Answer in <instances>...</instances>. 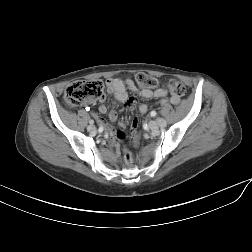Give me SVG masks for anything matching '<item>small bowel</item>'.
Instances as JSON below:
<instances>
[{
	"label": "small bowel",
	"mask_w": 252,
	"mask_h": 252,
	"mask_svg": "<svg viewBox=\"0 0 252 252\" xmlns=\"http://www.w3.org/2000/svg\"><path fill=\"white\" fill-rule=\"evenodd\" d=\"M106 86L108 92L115 98L116 101L124 103L125 106L130 109L137 108L140 113L147 112V105L143 103L138 104L137 99L134 96L128 95L127 88L133 92H138L143 98H165L168 95L167 91L163 88H158L155 90H151L149 88L138 89L131 78H128L125 81L119 78H108L106 80ZM101 100H103V98ZM179 102L180 98L174 95H171L162 101L163 104L171 103L174 105L178 104ZM88 103H92V101L90 100ZM99 112L105 114L107 112V107L105 105H100ZM92 116L97 120L100 126L106 129L110 146L118 150L121 147L123 140L117 137L116 133L113 132L111 125L101 119L96 112H92ZM109 120L111 123L117 122L118 114L116 111H110ZM119 125L120 127H124L125 121L120 120Z\"/></svg>",
	"instance_id": "c3829d8e"
}]
</instances>
